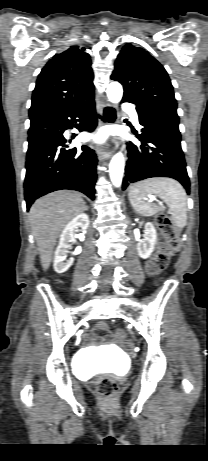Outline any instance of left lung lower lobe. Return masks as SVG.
<instances>
[{
  "label": "left lung lower lobe",
  "instance_id": "left-lung-lower-lobe-1",
  "mask_svg": "<svg viewBox=\"0 0 208 461\" xmlns=\"http://www.w3.org/2000/svg\"><path fill=\"white\" fill-rule=\"evenodd\" d=\"M123 102H131L123 99ZM132 103V102H131ZM136 110L142 134L141 145L128 144L129 159L125 167L123 190L130 183L151 177H170L178 180L190 192V181L181 149L179 117L169 110Z\"/></svg>",
  "mask_w": 208,
  "mask_h": 461
}]
</instances>
